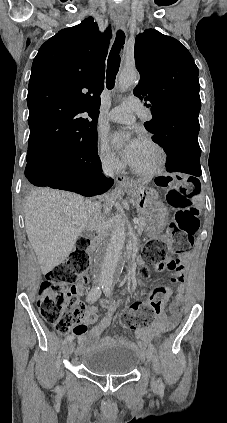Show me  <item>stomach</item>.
Returning <instances> with one entry per match:
<instances>
[{
    "instance_id": "0dacf381",
    "label": "stomach",
    "mask_w": 227,
    "mask_h": 423,
    "mask_svg": "<svg viewBox=\"0 0 227 423\" xmlns=\"http://www.w3.org/2000/svg\"><path fill=\"white\" fill-rule=\"evenodd\" d=\"M121 190L128 192L135 200L136 208L139 213L145 215L147 211H151L153 204L158 200V194L153 190V188H148V186H143V184H135V182H130L127 186H123Z\"/></svg>"
}]
</instances>
